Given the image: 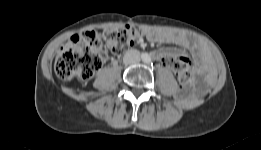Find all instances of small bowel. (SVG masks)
Instances as JSON below:
<instances>
[{
    "label": "small bowel",
    "instance_id": "small-bowel-1",
    "mask_svg": "<svg viewBox=\"0 0 261 150\" xmlns=\"http://www.w3.org/2000/svg\"><path fill=\"white\" fill-rule=\"evenodd\" d=\"M143 33L150 42L175 44L190 50L195 59L208 72V75L211 76L213 72L212 61L206 47L203 44L185 35L171 33L167 31L146 29L143 31ZM171 53H173V51L169 49H161L158 51H154L152 53V56L156 59H160L163 62L164 58Z\"/></svg>",
    "mask_w": 261,
    "mask_h": 150
}]
</instances>
